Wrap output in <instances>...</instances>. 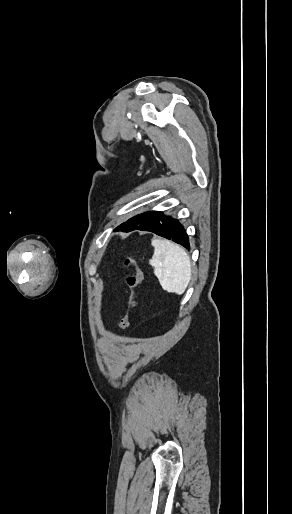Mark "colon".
<instances>
[{"label": "colon", "mask_w": 292, "mask_h": 514, "mask_svg": "<svg viewBox=\"0 0 292 514\" xmlns=\"http://www.w3.org/2000/svg\"><path fill=\"white\" fill-rule=\"evenodd\" d=\"M125 267L127 269V275H126V286L129 289L130 295L128 299V312L122 317V319L119 322V329L120 330H126L130 327L131 323V313L130 310L134 307L135 301H136V293L137 288L139 284L141 283V280L143 278V273L141 269L136 267L133 263V260L131 258H127L125 260Z\"/></svg>", "instance_id": "colon-1"}]
</instances>
